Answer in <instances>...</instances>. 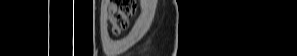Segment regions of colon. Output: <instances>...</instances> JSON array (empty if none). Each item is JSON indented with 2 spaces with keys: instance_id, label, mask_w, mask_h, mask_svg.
Segmentation results:
<instances>
[{
  "instance_id": "5ec220e1",
  "label": "colon",
  "mask_w": 297,
  "mask_h": 56,
  "mask_svg": "<svg viewBox=\"0 0 297 56\" xmlns=\"http://www.w3.org/2000/svg\"><path fill=\"white\" fill-rule=\"evenodd\" d=\"M135 11L132 0H114L110 6V21L114 33H120L128 24L129 18Z\"/></svg>"
}]
</instances>
